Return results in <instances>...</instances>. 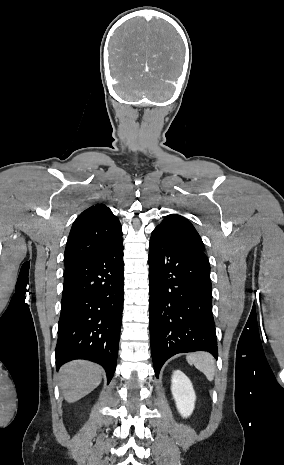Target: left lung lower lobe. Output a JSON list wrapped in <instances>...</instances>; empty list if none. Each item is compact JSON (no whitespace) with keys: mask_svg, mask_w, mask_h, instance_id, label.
Segmentation results:
<instances>
[{"mask_svg":"<svg viewBox=\"0 0 284 465\" xmlns=\"http://www.w3.org/2000/svg\"><path fill=\"white\" fill-rule=\"evenodd\" d=\"M149 287L156 376L165 361L178 353L201 350L217 358L210 264L205 252L152 232Z\"/></svg>","mask_w":284,"mask_h":465,"instance_id":"obj_1","label":"left lung lower lobe"}]
</instances>
